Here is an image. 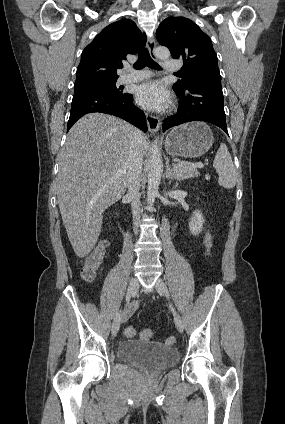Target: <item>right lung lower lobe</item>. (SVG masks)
<instances>
[{
    "label": "right lung lower lobe",
    "mask_w": 285,
    "mask_h": 424,
    "mask_svg": "<svg viewBox=\"0 0 285 424\" xmlns=\"http://www.w3.org/2000/svg\"><path fill=\"white\" fill-rule=\"evenodd\" d=\"M92 112L120 117L147 132L145 114L135 107L131 94L111 95L93 91L74 93L67 131L79 118Z\"/></svg>",
    "instance_id": "obj_1"
}]
</instances>
